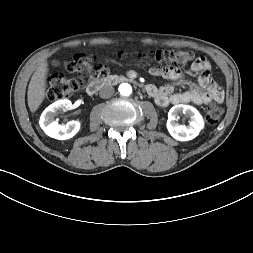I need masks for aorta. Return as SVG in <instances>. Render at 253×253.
I'll return each mask as SVG.
<instances>
[{"instance_id":"obj_1","label":"aorta","mask_w":253,"mask_h":253,"mask_svg":"<svg viewBox=\"0 0 253 253\" xmlns=\"http://www.w3.org/2000/svg\"><path fill=\"white\" fill-rule=\"evenodd\" d=\"M119 92L123 96H129L132 93V87L128 83H122L119 86Z\"/></svg>"}]
</instances>
